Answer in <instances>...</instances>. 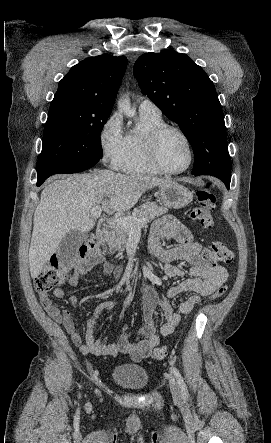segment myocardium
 <instances>
[{"instance_id":"myocardium-1","label":"myocardium","mask_w":271,"mask_h":443,"mask_svg":"<svg viewBox=\"0 0 271 443\" xmlns=\"http://www.w3.org/2000/svg\"><path fill=\"white\" fill-rule=\"evenodd\" d=\"M168 131H175L177 132L186 142L188 149H189V161L188 163L179 169H171L167 167L161 160L159 155V144L162 139V137L168 132ZM147 154L150 162L153 164L155 168H157L160 172L166 173V174H180L185 171H187L193 164L194 158H195V150L194 146L192 144L191 139L189 136L178 126L171 125V124H162L154 128L151 133L149 134V137L147 139Z\"/></svg>"}]
</instances>
